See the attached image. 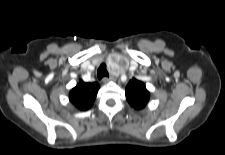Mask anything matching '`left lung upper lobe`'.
Masks as SVG:
<instances>
[{
	"instance_id": "left-lung-upper-lobe-1",
	"label": "left lung upper lobe",
	"mask_w": 225,
	"mask_h": 155,
	"mask_svg": "<svg viewBox=\"0 0 225 155\" xmlns=\"http://www.w3.org/2000/svg\"><path fill=\"white\" fill-rule=\"evenodd\" d=\"M125 95L129 104L135 109H142L149 101L150 94L145 85L133 78L126 86Z\"/></svg>"
}]
</instances>
